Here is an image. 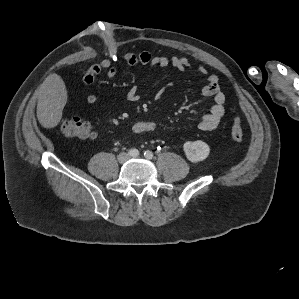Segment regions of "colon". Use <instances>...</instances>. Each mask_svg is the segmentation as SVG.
<instances>
[{"label":"colon","mask_w":299,"mask_h":299,"mask_svg":"<svg viewBox=\"0 0 299 299\" xmlns=\"http://www.w3.org/2000/svg\"><path fill=\"white\" fill-rule=\"evenodd\" d=\"M61 131L65 136L77 139H88L94 134L92 125L79 115L64 118L61 122ZM230 137L234 141H241L244 137L242 120L238 115L234 118Z\"/></svg>","instance_id":"5ec220e1"}]
</instances>
